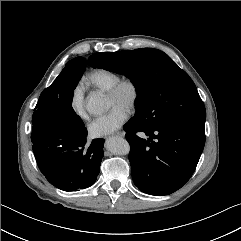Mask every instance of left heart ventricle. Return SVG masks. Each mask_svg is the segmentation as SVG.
Returning a JSON list of instances; mask_svg holds the SVG:
<instances>
[{"label": "left heart ventricle", "mask_w": 241, "mask_h": 241, "mask_svg": "<svg viewBox=\"0 0 241 241\" xmlns=\"http://www.w3.org/2000/svg\"><path fill=\"white\" fill-rule=\"evenodd\" d=\"M108 107L121 106L127 109V106L131 100V90L125 87L117 97H111L108 95Z\"/></svg>", "instance_id": "b2bd125f"}]
</instances>
